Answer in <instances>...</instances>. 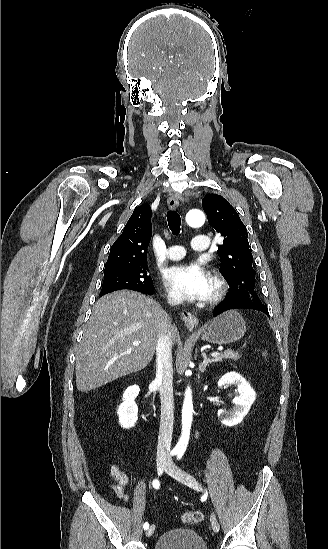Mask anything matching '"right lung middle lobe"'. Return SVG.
<instances>
[{"label": "right lung middle lobe", "instance_id": "dd1d6c3e", "mask_svg": "<svg viewBox=\"0 0 328 549\" xmlns=\"http://www.w3.org/2000/svg\"><path fill=\"white\" fill-rule=\"evenodd\" d=\"M121 289H130L142 293L154 290L153 281L148 274L147 263L105 271L100 295L103 296Z\"/></svg>", "mask_w": 328, "mask_h": 549}]
</instances>
